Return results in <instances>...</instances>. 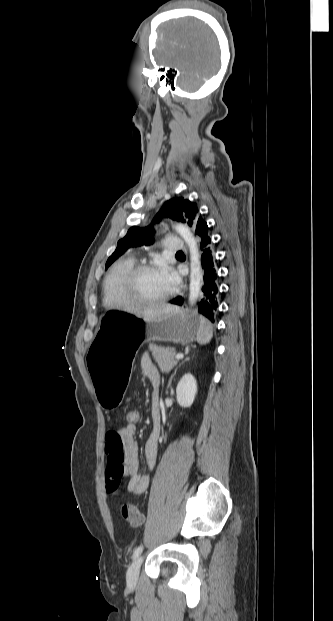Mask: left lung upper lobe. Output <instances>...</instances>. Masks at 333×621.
<instances>
[{
  "label": "left lung upper lobe",
  "mask_w": 333,
  "mask_h": 621,
  "mask_svg": "<svg viewBox=\"0 0 333 621\" xmlns=\"http://www.w3.org/2000/svg\"><path fill=\"white\" fill-rule=\"evenodd\" d=\"M163 217H169L173 220L187 223L190 227H193L195 231L206 224L198 214L197 204L184 197H176L168 200L156 214L153 222L158 223ZM153 235L152 224L143 228L137 226L131 227L126 236L118 241L117 248L108 258L105 268L107 269L128 248L153 243Z\"/></svg>",
  "instance_id": "1"
}]
</instances>
